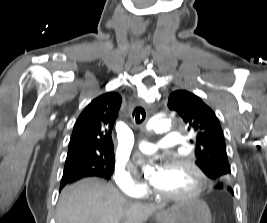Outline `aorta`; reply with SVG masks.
Segmentation results:
<instances>
[{
    "instance_id": "1",
    "label": "aorta",
    "mask_w": 267,
    "mask_h": 223,
    "mask_svg": "<svg viewBox=\"0 0 267 223\" xmlns=\"http://www.w3.org/2000/svg\"><path fill=\"white\" fill-rule=\"evenodd\" d=\"M147 129L148 130H154V131H167L170 129L171 127V121L167 118H155V119H151L148 123H147ZM145 173H151L153 172V168L150 166H146L144 169Z\"/></svg>"
}]
</instances>
